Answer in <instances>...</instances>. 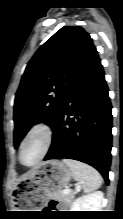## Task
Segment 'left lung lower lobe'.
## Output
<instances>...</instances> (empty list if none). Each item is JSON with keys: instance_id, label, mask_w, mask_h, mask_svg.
Instances as JSON below:
<instances>
[{"instance_id": "obj_1", "label": "left lung lower lobe", "mask_w": 123, "mask_h": 219, "mask_svg": "<svg viewBox=\"0 0 123 219\" xmlns=\"http://www.w3.org/2000/svg\"><path fill=\"white\" fill-rule=\"evenodd\" d=\"M97 56L80 74L53 127L44 160L74 159L96 168L108 183L112 147V106Z\"/></svg>"}]
</instances>
